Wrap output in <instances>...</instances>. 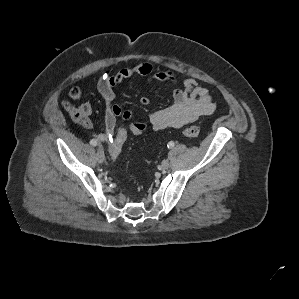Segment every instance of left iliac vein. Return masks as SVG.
<instances>
[{
  "label": "left iliac vein",
  "instance_id": "left-iliac-vein-1",
  "mask_svg": "<svg viewBox=\"0 0 299 299\" xmlns=\"http://www.w3.org/2000/svg\"><path fill=\"white\" fill-rule=\"evenodd\" d=\"M169 168V161L168 160H163L161 163V169L162 170H167Z\"/></svg>",
  "mask_w": 299,
  "mask_h": 299
}]
</instances>
